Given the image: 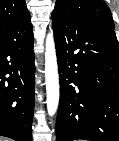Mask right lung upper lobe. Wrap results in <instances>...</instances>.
<instances>
[{"instance_id": "cb5924a9", "label": "right lung upper lobe", "mask_w": 119, "mask_h": 141, "mask_svg": "<svg viewBox=\"0 0 119 141\" xmlns=\"http://www.w3.org/2000/svg\"><path fill=\"white\" fill-rule=\"evenodd\" d=\"M30 17L25 0H0V26Z\"/></svg>"}]
</instances>
